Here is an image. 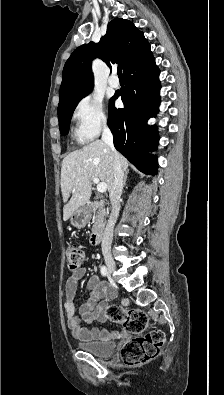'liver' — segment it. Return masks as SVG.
<instances>
[{
    "mask_svg": "<svg viewBox=\"0 0 224 395\" xmlns=\"http://www.w3.org/2000/svg\"><path fill=\"white\" fill-rule=\"evenodd\" d=\"M123 171H128L127 159L117 153ZM114 155L110 147L101 140H95L79 150L69 153L62 161L61 192L64 200L63 220L67 221L91 196L93 179L113 185ZM70 194H72L70 198ZM70 200L68 201V199Z\"/></svg>",
    "mask_w": 224,
    "mask_h": 395,
    "instance_id": "obj_1",
    "label": "liver"
}]
</instances>
